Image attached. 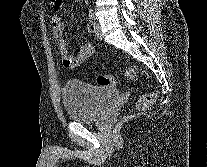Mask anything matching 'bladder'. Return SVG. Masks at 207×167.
<instances>
[{"instance_id":"bladder-1","label":"bladder","mask_w":207,"mask_h":167,"mask_svg":"<svg viewBox=\"0 0 207 167\" xmlns=\"http://www.w3.org/2000/svg\"><path fill=\"white\" fill-rule=\"evenodd\" d=\"M114 89L69 80L62 89V100L68 117L75 122L98 121L118 98Z\"/></svg>"}]
</instances>
